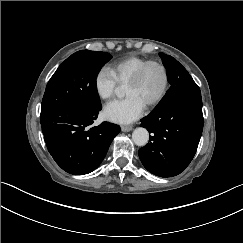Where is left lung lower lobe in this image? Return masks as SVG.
Returning a JSON list of instances; mask_svg holds the SVG:
<instances>
[{"label":"left lung lower lobe","mask_w":243,"mask_h":243,"mask_svg":"<svg viewBox=\"0 0 243 243\" xmlns=\"http://www.w3.org/2000/svg\"><path fill=\"white\" fill-rule=\"evenodd\" d=\"M152 134L139 149L144 167L154 175L172 177L192 161L203 130L201 94H178L141 120Z\"/></svg>","instance_id":"left-lung-lower-lobe-1"}]
</instances>
